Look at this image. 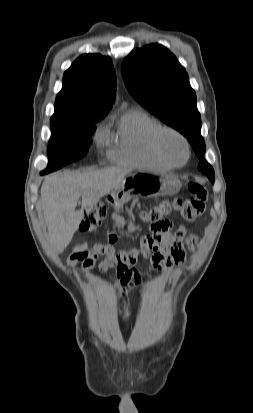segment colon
<instances>
[{
  "label": "colon",
  "mask_w": 253,
  "mask_h": 413,
  "mask_svg": "<svg viewBox=\"0 0 253 413\" xmlns=\"http://www.w3.org/2000/svg\"><path fill=\"white\" fill-rule=\"evenodd\" d=\"M189 190L191 192L189 198L164 201L145 212L143 217L153 223V226H158L163 221L164 216L172 212H178L183 219L188 221L200 218L206 210L209 199L208 191L204 185L197 182H191ZM106 215L107 209L101 203L89 207L83 214L80 230L85 232L94 230Z\"/></svg>",
  "instance_id": "1"
}]
</instances>
